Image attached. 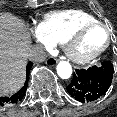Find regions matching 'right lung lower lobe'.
<instances>
[{
	"label": "right lung lower lobe",
	"instance_id": "right-lung-lower-lobe-1",
	"mask_svg": "<svg viewBox=\"0 0 117 117\" xmlns=\"http://www.w3.org/2000/svg\"><path fill=\"white\" fill-rule=\"evenodd\" d=\"M32 68V63L29 62L27 64L26 67V82L24 84V86L14 95L10 96V97H0V106H7V105H13V104H17L18 102H20L27 90V85H28V78H29V73L30 70Z\"/></svg>",
	"mask_w": 117,
	"mask_h": 117
}]
</instances>
